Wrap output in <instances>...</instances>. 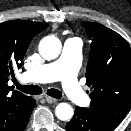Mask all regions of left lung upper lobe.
Listing matches in <instances>:
<instances>
[{"label": "left lung upper lobe", "instance_id": "5c2ea615", "mask_svg": "<svg viewBox=\"0 0 131 131\" xmlns=\"http://www.w3.org/2000/svg\"><path fill=\"white\" fill-rule=\"evenodd\" d=\"M85 28L92 39L86 71L91 105L86 109L114 130L131 106V48L101 24L87 22Z\"/></svg>", "mask_w": 131, "mask_h": 131}]
</instances>
